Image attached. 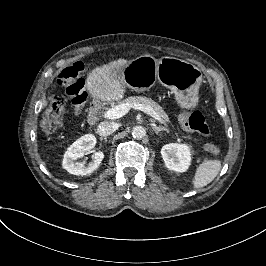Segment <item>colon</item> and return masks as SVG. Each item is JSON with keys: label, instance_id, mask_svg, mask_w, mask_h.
I'll return each mask as SVG.
<instances>
[{"label": "colon", "instance_id": "5ec220e1", "mask_svg": "<svg viewBox=\"0 0 266 266\" xmlns=\"http://www.w3.org/2000/svg\"><path fill=\"white\" fill-rule=\"evenodd\" d=\"M83 70V61L75 60L60 72L58 84L63 87V92L51 97L50 105L41 121V127L45 134L50 135L59 127L66 111V102H71L73 106L77 107L84 101ZM183 126L188 130L198 132L203 137H207L210 133V128L200 111H194L186 117ZM206 149L214 154L219 153V147L215 144H206Z\"/></svg>", "mask_w": 266, "mask_h": 266}]
</instances>
